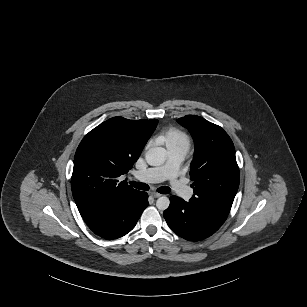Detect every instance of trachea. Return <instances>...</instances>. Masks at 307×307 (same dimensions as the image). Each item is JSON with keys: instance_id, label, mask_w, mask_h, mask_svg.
Instances as JSON below:
<instances>
[{"instance_id": "1", "label": "trachea", "mask_w": 307, "mask_h": 307, "mask_svg": "<svg viewBox=\"0 0 307 307\" xmlns=\"http://www.w3.org/2000/svg\"><path fill=\"white\" fill-rule=\"evenodd\" d=\"M129 184L132 186V187H135L137 189H140V190H144V191H147L150 189L149 185L146 184V183H141V182H135V181H132V182H129ZM170 188L169 187H166V186H163V187H159L157 189V192L161 193V194H168L170 193Z\"/></svg>"}]
</instances>
